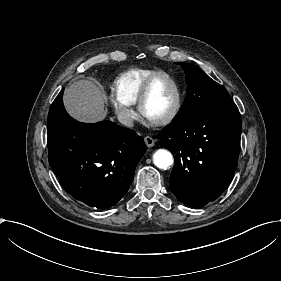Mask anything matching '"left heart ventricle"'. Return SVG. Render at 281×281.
Here are the masks:
<instances>
[{"instance_id":"obj_1","label":"left heart ventricle","mask_w":281,"mask_h":281,"mask_svg":"<svg viewBox=\"0 0 281 281\" xmlns=\"http://www.w3.org/2000/svg\"><path fill=\"white\" fill-rule=\"evenodd\" d=\"M175 92L172 84L167 80L157 83L144 105L146 115L155 120L167 117L173 107Z\"/></svg>"}]
</instances>
